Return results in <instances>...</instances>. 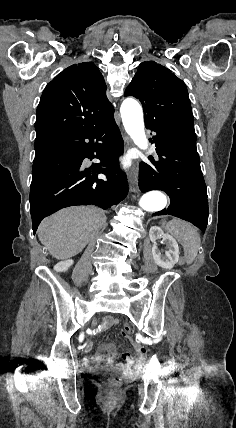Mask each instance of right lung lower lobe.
<instances>
[{
  "mask_svg": "<svg viewBox=\"0 0 236 428\" xmlns=\"http://www.w3.org/2000/svg\"><path fill=\"white\" fill-rule=\"evenodd\" d=\"M42 143L45 146L35 152L29 198L34 233L44 217L64 207L96 205L107 209L126 197L127 178L118 165L124 144L113 116ZM86 157L101 163L85 168L82 162ZM94 173L105 174L107 180H99Z\"/></svg>",
  "mask_w": 236,
  "mask_h": 428,
  "instance_id": "98d812e1",
  "label": "right lung lower lobe"
}]
</instances>
